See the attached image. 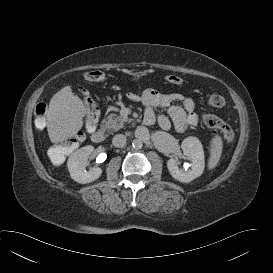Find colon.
Returning a JSON list of instances; mask_svg holds the SVG:
<instances>
[{
    "instance_id": "colon-1",
    "label": "colon",
    "mask_w": 273,
    "mask_h": 273,
    "mask_svg": "<svg viewBox=\"0 0 273 273\" xmlns=\"http://www.w3.org/2000/svg\"><path fill=\"white\" fill-rule=\"evenodd\" d=\"M84 77L89 82L98 83L104 80L105 74L101 70L92 69L85 72ZM165 80L173 85H179L182 83V79L176 75H168L165 77ZM80 93L83 96L86 107L85 128L87 130H92L96 127L98 122L99 108L93 97L86 89L81 88ZM207 103L211 107L221 108L225 105V99L222 96L215 94L209 97ZM46 110L47 106L44 102H39L35 107V122L38 128L44 127ZM202 118L206 126L217 130L227 142L234 141L235 133L226 122L212 114H203ZM74 139L75 141L80 142L81 136L77 135ZM68 149L69 145L57 146L51 150L50 155L52 157L55 153Z\"/></svg>"
}]
</instances>
